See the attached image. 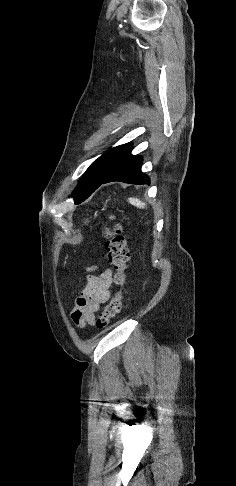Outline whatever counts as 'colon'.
<instances>
[{"mask_svg": "<svg viewBox=\"0 0 236 486\" xmlns=\"http://www.w3.org/2000/svg\"><path fill=\"white\" fill-rule=\"evenodd\" d=\"M106 251L109 264L114 269V281L119 289L115 292L110 302L104 310L99 313L96 324L99 328H104L110 324L122 310L123 292L122 288L126 282V268L129 261V250L126 245L125 237L122 234V228L116 224L113 227L106 228Z\"/></svg>", "mask_w": 236, "mask_h": 486, "instance_id": "5ec220e1", "label": "colon"}]
</instances>
